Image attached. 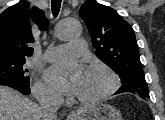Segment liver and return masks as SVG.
I'll return each mask as SVG.
<instances>
[{"label": "liver", "mask_w": 165, "mask_h": 120, "mask_svg": "<svg viewBox=\"0 0 165 120\" xmlns=\"http://www.w3.org/2000/svg\"><path fill=\"white\" fill-rule=\"evenodd\" d=\"M40 107L16 90L0 86V120H40Z\"/></svg>", "instance_id": "obj_1"}]
</instances>
